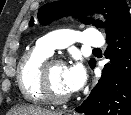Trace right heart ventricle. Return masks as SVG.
Masks as SVG:
<instances>
[{
    "mask_svg": "<svg viewBox=\"0 0 131 115\" xmlns=\"http://www.w3.org/2000/svg\"><path fill=\"white\" fill-rule=\"evenodd\" d=\"M50 55L38 45L21 57L17 67V83L23 98L29 102L42 103L44 99L38 88L39 70Z\"/></svg>",
    "mask_w": 131,
    "mask_h": 115,
    "instance_id": "e07e8e85",
    "label": "right heart ventricle"
}]
</instances>
